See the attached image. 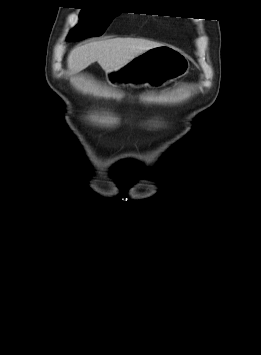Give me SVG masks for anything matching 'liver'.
<instances>
[{
	"label": "liver",
	"instance_id": "obj_1",
	"mask_svg": "<svg viewBox=\"0 0 261 355\" xmlns=\"http://www.w3.org/2000/svg\"><path fill=\"white\" fill-rule=\"evenodd\" d=\"M161 44L139 38H114L91 42L74 48L68 55L70 74L78 73L94 62L105 72L117 70L143 52Z\"/></svg>",
	"mask_w": 261,
	"mask_h": 355
}]
</instances>
